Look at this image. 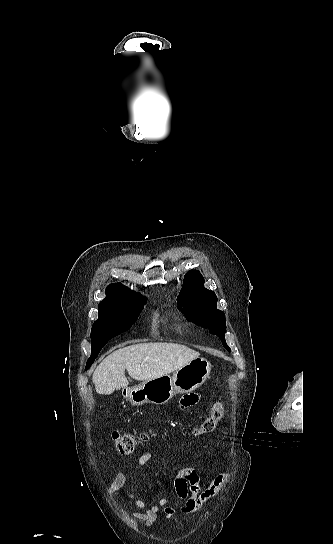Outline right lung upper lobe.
<instances>
[{"instance_id":"obj_1","label":"right lung upper lobe","mask_w":333,"mask_h":544,"mask_svg":"<svg viewBox=\"0 0 333 544\" xmlns=\"http://www.w3.org/2000/svg\"><path fill=\"white\" fill-rule=\"evenodd\" d=\"M137 296H140V294L131 291L126 286L120 283L111 284L106 288V298L103 299L100 303L132 299Z\"/></svg>"}]
</instances>
